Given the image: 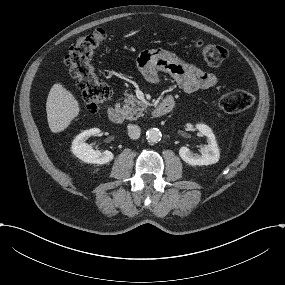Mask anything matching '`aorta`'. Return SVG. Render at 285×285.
Listing matches in <instances>:
<instances>
[{
  "instance_id": "1",
  "label": "aorta",
  "mask_w": 285,
  "mask_h": 285,
  "mask_svg": "<svg viewBox=\"0 0 285 285\" xmlns=\"http://www.w3.org/2000/svg\"><path fill=\"white\" fill-rule=\"evenodd\" d=\"M162 134L158 128H150L146 132V138L149 142H158L161 140Z\"/></svg>"
}]
</instances>
